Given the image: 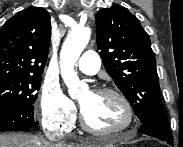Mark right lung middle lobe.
<instances>
[{"label":"right lung middle lobe","mask_w":183,"mask_h":147,"mask_svg":"<svg viewBox=\"0 0 183 147\" xmlns=\"http://www.w3.org/2000/svg\"><path fill=\"white\" fill-rule=\"evenodd\" d=\"M42 75L0 80V105L26 103L37 100Z\"/></svg>","instance_id":"right-lung-middle-lobe-1"}]
</instances>
